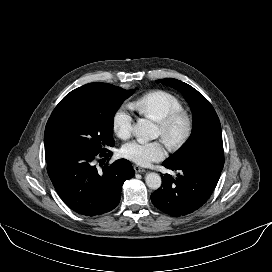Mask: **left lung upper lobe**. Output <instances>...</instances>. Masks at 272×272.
Segmentation results:
<instances>
[{
    "label": "left lung upper lobe",
    "instance_id": "left-lung-upper-lobe-1",
    "mask_svg": "<svg viewBox=\"0 0 272 272\" xmlns=\"http://www.w3.org/2000/svg\"><path fill=\"white\" fill-rule=\"evenodd\" d=\"M157 82L180 91L189 103L193 114L192 135L185 146L171 155L167 161L177 162L191 159L206 166L223 169L224 151L221 125L210 102L196 89L182 81L165 78Z\"/></svg>",
    "mask_w": 272,
    "mask_h": 272
}]
</instances>
